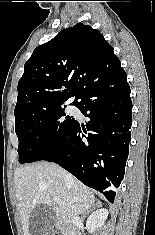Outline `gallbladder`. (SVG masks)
Wrapping results in <instances>:
<instances>
[{
  "mask_svg": "<svg viewBox=\"0 0 155 235\" xmlns=\"http://www.w3.org/2000/svg\"><path fill=\"white\" fill-rule=\"evenodd\" d=\"M55 218V211L52 206L37 205L33 209L29 220L30 235H52Z\"/></svg>",
  "mask_w": 155,
  "mask_h": 235,
  "instance_id": "obj_1",
  "label": "gallbladder"
}]
</instances>
